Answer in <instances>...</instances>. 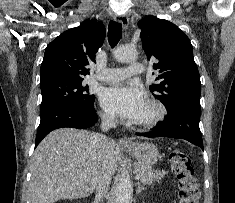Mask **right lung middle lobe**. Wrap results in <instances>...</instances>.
<instances>
[{
	"label": "right lung middle lobe",
	"instance_id": "1",
	"mask_svg": "<svg viewBox=\"0 0 235 203\" xmlns=\"http://www.w3.org/2000/svg\"><path fill=\"white\" fill-rule=\"evenodd\" d=\"M82 81L83 79L64 80L41 85V110L65 102L77 104L93 102L95 96L89 94L88 86H84Z\"/></svg>",
	"mask_w": 235,
	"mask_h": 203
}]
</instances>
